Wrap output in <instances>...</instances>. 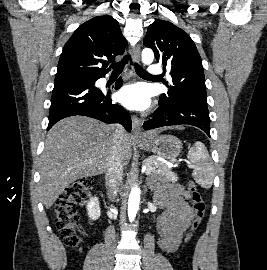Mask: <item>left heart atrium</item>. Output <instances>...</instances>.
I'll return each mask as SVG.
<instances>
[{
  "label": "left heart atrium",
  "mask_w": 267,
  "mask_h": 270,
  "mask_svg": "<svg viewBox=\"0 0 267 270\" xmlns=\"http://www.w3.org/2000/svg\"><path fill=\"white\" fill-rule=\"evenodd\" d=\"M118 100L127 108L143 110L150 104L147 89L141 84L127 85L118 93Z\"/></svg>",
  "instance_id": "left-heart-atrium-1"
}]
</instances>
